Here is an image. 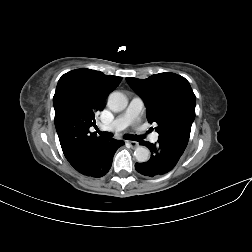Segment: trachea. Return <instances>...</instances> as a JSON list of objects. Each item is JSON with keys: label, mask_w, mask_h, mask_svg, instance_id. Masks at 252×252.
I'll return each instance as SVG.
<instances>
[{"label": "trachea", "mask_w": 252, "mask_h": 252, "mask_svg": "<svg viewBox=\"0 0 252 252\" xmlns=\"http://www.w3.org/2000/svg\"><path fill=\"white\" fill-rule=\"evenodd\" d=\"M96 131L99 135L104 136V137L112 138L113 136V134L110 132H102V131H99L98 129ZM124 138L127 140H132V141H141L142 139H144L143 136L131 135V134H126Z\"/></svg>", "instance_id": "1"}]
</instances>
